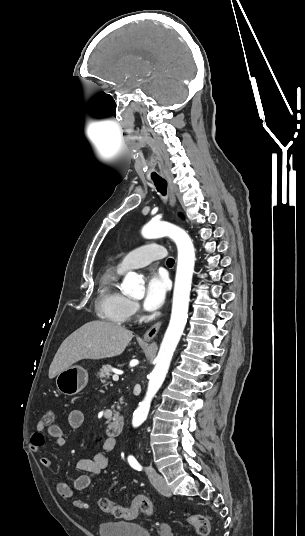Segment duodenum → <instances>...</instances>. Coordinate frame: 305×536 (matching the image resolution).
<instances>
[{
	"label": "duodenum",
	"mask_w": 305,
	"mask_h": 536,
	"mask_svg": "<svg viewBox=\"0 0 305 536\" xmlns=\"http://www.w3.org/2000/svg\"><path fill=\"white\" fill-rule=\"evenodd\" d=\"M125 427V419L121 416L115 417L107 426L106 432L109 437L120 435Z\"/></svg>",
	"instance_id": "410a0bca"
}]
</instances>
